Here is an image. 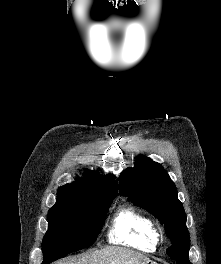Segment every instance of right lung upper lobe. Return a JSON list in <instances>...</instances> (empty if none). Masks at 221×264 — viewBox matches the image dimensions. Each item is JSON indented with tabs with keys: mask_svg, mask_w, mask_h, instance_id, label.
Listing matches in <instances>:
<instances>
[{
	"mask_svg": "<svg viewBox=\"0 0 221 264\" xmlns=\"http://www.w3.org/2000/svg\"><path fill=\"white\" fill-rule=\"evenodd\" d=\"M117 190L118 180L114 175L100 176L88 170L83 178L58 189L56 205L77 206L94 198L115 197Z\"/></svg>",
	"mask_w": 221,
	"mask_h": 264,
	"instance_id": "right-lung-upper-lobe-1",
	"label": "right lung upper lobe"
}]
</instances>
